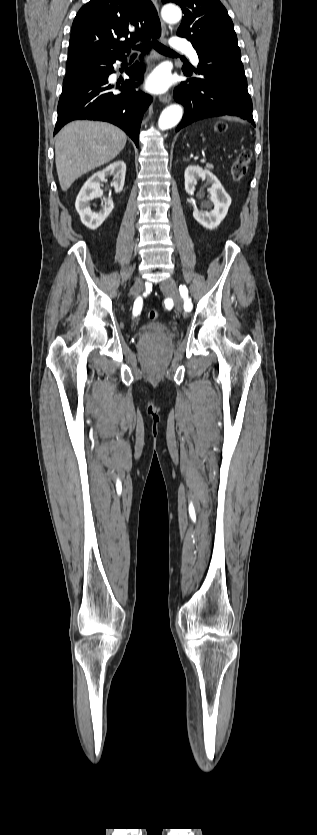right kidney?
Wrapping results in <instances>:
<instances>
[{
    "instance_id": "ca27d5eb",
    "label": "right kidney",
    "mask_w": 317,
    "mask_h": 835,
    "mask_svg": "<svg viewBox=\"0 0 317 835\" xmlns=\"http://www.w3.org/2000/svg\"><path fill=\"white\" fill-rule=\"evenodd\" d=\"M126 174V164L123 161H117L101 171L94 173L83 185L75 201V208L80 215L82 223L91 230L97 229L105 219L110 215L114 208L112 198L103 199L102 207L98 212H92L89 201L96 197H102L100 182L106 180L107 177L113 176L112 185L115 192L119 193L123 190ZM104 202V203H103Z\"/></svg>"
}]
</instances>
